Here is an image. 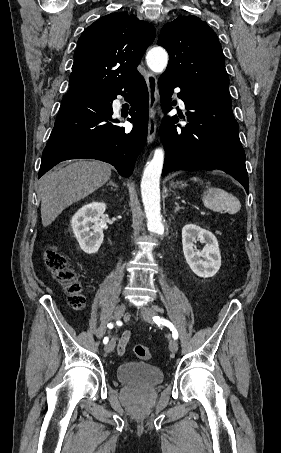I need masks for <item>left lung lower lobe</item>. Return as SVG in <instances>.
<instances>
[{"mask_svg":"<svg viewBox=\"0 0 281 453\" xmlns=\"http://www.w3.org/2000/svg\"><path fill=\"white\" fill-rule=\"evenodd\" d=\"M162 109H172L170 97L179 85L169 76L158 81ZM186 127L177 128V116L165 118L161 138L166 148L162 176L178 170H222L239 181L248 193L249 181L245 153L239 140L238 124L232 112L230 94L217 92L193 93L181 89ZM181 118V116H179Z\"/></svg>","mask_w":281,"mask_h":453,"instance_id":"left-lung-lower-lobe-1","label":"left lung lower lobe"}]
</instances>
